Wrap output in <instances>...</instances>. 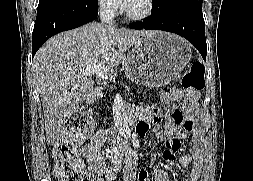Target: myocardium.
<instances>
[{
  "instance_id": "f54148a6",
  "label": "myocardium",
  "mask_w": 253,
  "mask_h": 181,
  "mask_svg": "<svg viewBox=\"0 0 253 181\" xmlns=\"http://www.w3.org/2000/svg\"><path fill=\"white\" fill-rule=\"evenodd\" d=\"M155 9V1L154 0H146L145 9L138 13H133L126 11L125 15L128 19L136 22H141L150 18Z\"/></svg>"
}]
</instances>
